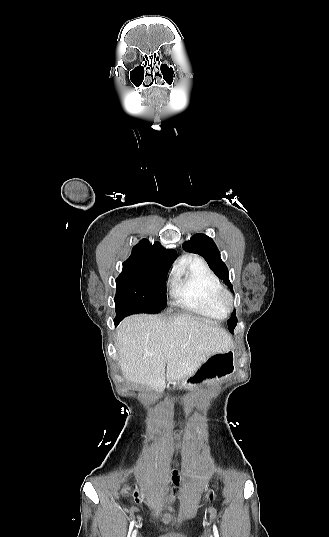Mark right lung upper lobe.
Wrapping results in <instances>:
<instances>
[{
  "mask_svg": "<svg viewBox=\"0 0 329 537\" xmlns=\"http://www.w3.org/2000/svg\"><path fill=\"white\" fill-rule=\"evenodd\" d=\"M176 257L175 250L166 249L159 242L152 245L149 240L142 239L133 247L130 257L123 263V271L153 265L170 268Z\"/></svg>",
  "mask_w": 329,
  "mask_h": 537,
  "instance_id": "right-lung-upper-lobe-1",
  "label": "right lung upper lobe"
}]
</instances>
